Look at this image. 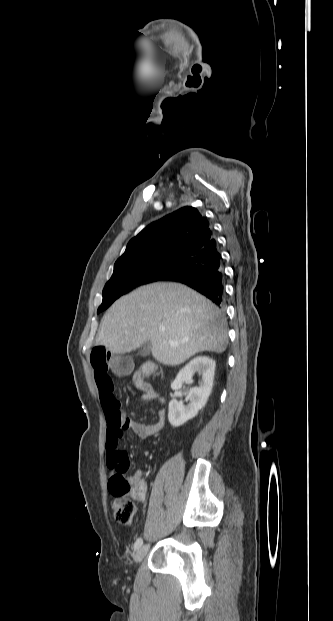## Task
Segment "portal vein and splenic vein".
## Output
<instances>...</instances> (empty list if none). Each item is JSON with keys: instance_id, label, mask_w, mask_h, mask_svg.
I'll list each match as a JSON object with an SVG mask.
<instances>
[{"instance_id": "1", "label": "portal vein and splenic vein", "mask_w": 333, "mask_h": 621, "mask_svg": "<svg viewBox=\"0 0 333 621\" xmlns=\"http://www.w3.org/2000/svg\"><path fill=\"white\" fill-rule=\"evenodd\" d=\"M159 330H160V331H164V330H165V328H164V327H160V328H159Z\"/></svg>"}]
</instances>
